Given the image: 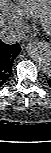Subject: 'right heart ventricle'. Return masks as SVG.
I'll return each mask as SVG.
<instances>
[{
    "mask_svg": "<svg viewBox=\"0 0 51 153\" xmlns=\"http://www.w3.org/2000/svg\"><path fill=\"white\" fill-rule=\"evenodd\" d=\"M26 18L41 19L51 9V0H19Z\"/></svg>",
    "mask_w": 51,
    "mask_h": 153,
    "instance_id": "right-heart-ventricle-1",
    "label": "right heart ventricle"
}]
</instances>
